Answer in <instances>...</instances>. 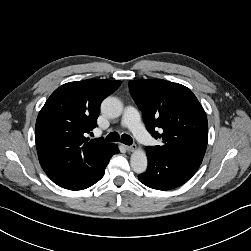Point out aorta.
<instances>
[{
	"instance_id": "aorta-1",
	"label": "aorta",
	"mask_w": 251,
	"mask_h": 251,
	"mask_svg": "<svg viewBox=\"0 0 251 251\" xmlns=\"http://www.w3.org/2000/svg\"><path fill=\"white\" fill-rule=\"evenodd\" d=\"M123 111L122 102L116 97H107L101 104V112L109 118H117ZM130 164L134 172L141 174L147 169V156L145 151L136 150L131 155Z\"/></svg>"
}]
</instances>
